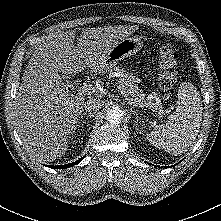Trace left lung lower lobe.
Returning a JSON list of instances; mask_svg holds the SVG:
<instances>
[{"instance_id":"0a47b994","label":"left lung lower lobe","mask_w":221,"mask_h":221,"mask_svg":"<svg viewBox=\"0 0 221 221\" xmlns=\"http://www.w3.org/2000/svg\"><path fill=\"white\" fill-rule=\"evenodd\" d=\"M173 166H175V165H173ZM155 167H156V165H155ZM159 167V166H158ZM170 167H172V166H170ZM161 168H163V167H161ZM164 168H166V167H164Z\"/></svg>"}]
</instances>
